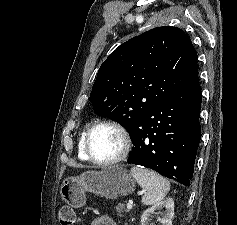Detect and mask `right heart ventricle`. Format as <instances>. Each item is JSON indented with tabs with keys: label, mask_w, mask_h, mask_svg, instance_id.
I'll return each mask as SVG.
<instances>
[{
	"label": "right heart ventricle",
	"mask_w": 237,
	"mask_h": 225,
	"mask_svg": "<svg viewBox=\"0 0 237 225\" xmlns=\"http://www.w3.org/2000/svg\"><path fill=\"white\" fill-rule=\"evenodd\" d=\"M84 137H85V132L81 134L78 142V156L81 160L87 161L88 158L85 155L84 152Z\"/></svg>",
	"instance_id": "1"
}]
</instances>
